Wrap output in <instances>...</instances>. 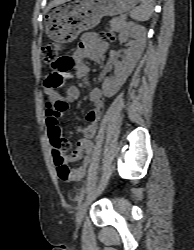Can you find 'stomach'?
Segmentation results:
<instances>
[{
  "label": "stomach",
  "mask_w": 194,
  "mask_h": 250,
  "mask_svg": "<svg viewBox=\"0 0 194 250\" xmlns=\"http://www.w3.org/2000/svg\"><path fill=\"white\" fill-rule=\"evenodd\" d=\"M139 0H67L50 7L45 15L46 34L58 43H70L94 28L103 16L130 11Z\"/></svg>",
  "instance_id": "stomach-1"
}]
</instances>
